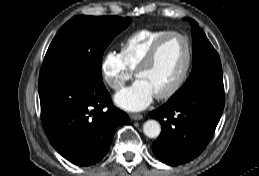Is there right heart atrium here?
<instances>
[{
	"mask_svg": "<svg viewBox=\"0 0 259 176\" xmlns=\"http://www.w3.org/2000/svg\"><path fill=\"white\" fill-rule=\"evenodd\" d=\"M100 73L103 81L115 91L121 90L133 76V71L127 67L121 54L115 51L103 56Z\"/></svg>",
	"mask_w": 259,
	"mask_h": 176,
	"instance_id": "obj_1",
	"label": "right heart atrium"
}]
</instances>
